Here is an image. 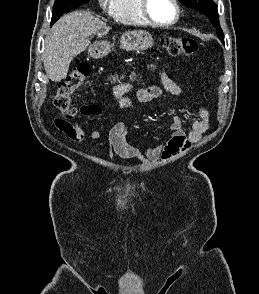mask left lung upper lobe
I'll list each match as a JSON object with an SVG mask.
<instances>
[{
  "mask_svg": "<svg viewBox=\"0 0 259 294\" xmlns=\"http://www.w3.org/2000/svg\"><path fill=\"white\" fill-rule=\"evenodd\" d=\"M187 7L194 8L206 15L211 23L216 27L218 38L224 43V36L219 23L217 5L213 0H179Z\"/></svg>",
  "mask_w": 259,
  "mask_h": 294,
  "instance_id": "obj_1",
  "label": "left lung upper lobe"
}]
</instances>
